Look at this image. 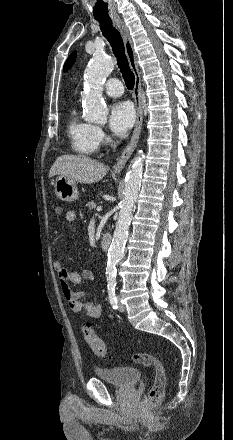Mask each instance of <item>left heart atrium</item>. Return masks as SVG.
Wrapping results in <instances>:
<instances>
[{
    "mask_svg": "<svg viewBox=\"0 0 233 440\" xmlns=\"http://www.w3.org/2000/svg\"><path fill=\"white\" fill-rule=\"evenodd\" d=\"M135 122V113L129 102H116L109 113V128L117 136H124Z\"/></svg>",
    "mask_w": 233,
    "mask_h": 440,
    "instance_id": "left-heart-atrium-1",
    "label": "left heart atrium"
}]
</instances>
